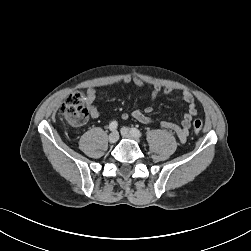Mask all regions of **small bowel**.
<instances>
[{
  "label": "small bowel",
  "mask_w": 251,
  "mask_h": 251,
  "mask_svg": "<svg viewBox=\"0 0 251 251\" xmlns=\"http://www.w3.org/2000/svg\"><path fill=\"white\" fill-rule=\"evenodd\" d=\"M125 84H133L137 87H148L151 91V98L155 99L160 92H163L164 94H171L173 92V88L171 87H165L162 88L158 84H149L143 81L142 79L130 75H126L123 80ZM97 96V92L94 88H88L86 91V106L88 114L91 118L96 119L99 117L100 113L98 108L95 106L94 102ZM181 98L183 101H185L188 105L187 112L184 114L180 125L172 123L170 121L163 120L161 121V126L165 129L173 131L178 139L181 142H185L191 128V123L193 118L197 115V109L194 101L193 95L189 91H183L181 94ZM153 111V108L151 106H147L144 111L141 110H134L131 113V116L143 124H148L151 122L150 114ZM128 113L122 114V119H128L129 118Z\"/></svg>",
  "instance_id": "1"
}]
</instances>
